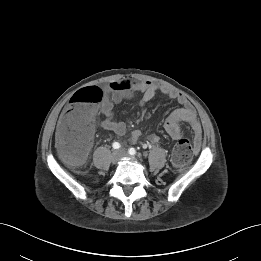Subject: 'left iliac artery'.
Wrapping results in <instances>:
<instances>
[{
  "label": "left iliac artery",
  "mask_w": 261,
  "mask_h": 261,
  "mask_svg": "<svg viewBox=\"0 0 261 261\" xmlns=\"http://www.w3.org/2000/svg\"><path fill=\"white\" fill-rule=\"evenodd\" d=\"M128 152H129L130 155H135L136 154V150L134 148H130L128 150Z\"/></svg>",
  "instance_id": "obj_1"
}]
</instances>
